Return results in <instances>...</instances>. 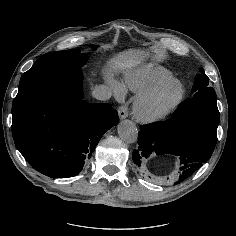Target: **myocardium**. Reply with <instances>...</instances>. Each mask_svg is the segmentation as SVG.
<instances>
[{
	"instance_id": "1",
	"label": "myocardium",
	"mask_w": 236,
	"mask_h": 236,
	"mask_svg": "<svg viewBox=\"0 0 236 236\" xmlns=\"http://www.w3.org/2000/svg\"><path fill=\"white\" fill-rule=\"evenodd\" d=\"M169 86L177 87L176 95L162 109L156 112H149L146 109L147 102L158 92ZM184 92V86L179 80L169 79L158 82L138 93L132 106L133 116L142 124L159 123L177 109L183 100Z\"/></svg>"
}]
</instances>
